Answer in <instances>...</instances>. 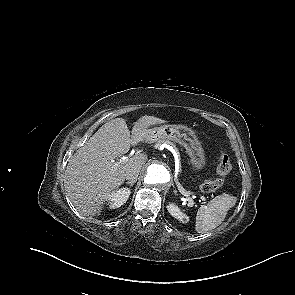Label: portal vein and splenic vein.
<instances>
[{
	"mask_svg": "<svg viewBox=\"0 0 295 295\" xmlns=\"http://www.w3.org/2000/svg\"><path fill=\"white\" fill-rule=\"evenodd\" d=\"M128 161V157H122L118 162H114V161H111V165L113 166V168H118L120 165L126 163ZM176 185H177V188L179 190V192L186 196V197H189L190 195H196L194 192H190V191H186L181 185L179 182L176 181ZM200 196V199L202 201H205L206 198L202 195V194H198ZM195 197V196H194Z\"/></svg>",
	"mask_w": 295,
	"mask_h": 295,
	"instance_id": "18ae733b",
	"label": "portal vein and splenic vein"
}]
</instances>
